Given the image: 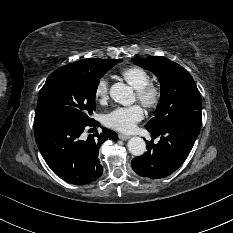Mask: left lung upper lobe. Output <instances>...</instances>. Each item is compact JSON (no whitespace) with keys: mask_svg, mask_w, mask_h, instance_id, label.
Instances as JSON below:
<instances>
[{"mask_svg":"<svg viewBox=\"0 0 233 233\" xmlns=\"http://www.w3.org/2000/svg\"><path fill=\"white\" fill-rule=\"evenodd\" d=\"M138 66L153 72L161 84L155 116L146 129L160 131L186 114L201 111V95L195 82L179 64L164 57L133 58Z\"/></svg>","mask_w":233,"mask_h":233,"instance_id":"left-lung-upper-lobe-1","label":"left lung upper lobe"}]
</instances>
